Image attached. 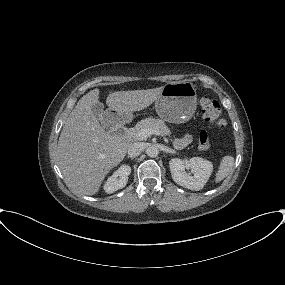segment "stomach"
<instances>
[{"label": "stomach", "mask_w": 285, "mask_h": 285, "mask_svg": "<svg viewBox=\"0 0 285 285\" xmlns=\"http://www.w3.org/2000/svg\"><path fill=\"white\" fill-rule=\"evenodd\" d=\"M196 88L189 81L171 82L155 100V110L160 118L170 123H184L195 113Z\"/></svg>", "instance_id": "0dacf381"}]
</instances>
